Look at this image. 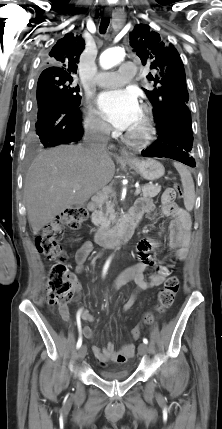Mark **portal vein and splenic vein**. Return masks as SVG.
<instances>
[{
    "mask_svg": "<svg viewBox=\"0 0 222 429\" xmlns=\"http://www.w3.org/2000/svg\"><path fill=\"white\" fill-rule=\"evenodd\" d=\"M140 192H141V189L137 188L135 191V196H138L140 194ZM100 196L105 197V195H100Z\"/></svg>",
    "mask_w": 222,
    "mask_h": 429,
    "instance_id": "18ae733b",
    "label": "portal vein and splenic vein"
}]
</instances>
